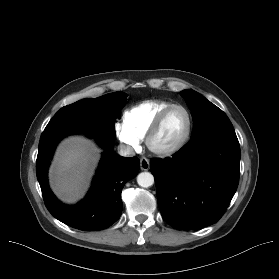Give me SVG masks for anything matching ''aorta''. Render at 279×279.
I'll return each mask as SVG.
<instances>
[{"label": "aorta", "mask_w": 279, "mask_h": 279, "mask_svg": "<svg viewBox=\"0 0 279 279\" xmlns=\"http://www.w3.org/2000/svg\"><path fill=\"white\" fill-rule=\"evenodd\" d=\"M137 183L143 188H148L154 184V177L149 172H141L137 176Z\"/></svg>", "instance_id": "obj_1"}]
</instances>
